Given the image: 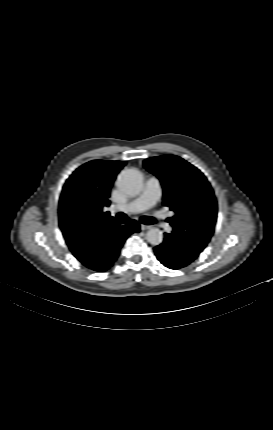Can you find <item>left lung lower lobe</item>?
Here are the masks:
<instances>
[{
	"mask_svg": "<svg viewBox=\"0 0 273 430\" xmlns=\"http://www.w3.org/2000/svg\"><path fill=\"white\" fill-rule=\"evenodd\" d=\"M158 260L170 269H179L193 262L199 252L178 243L173 233H166L162 244L154 248Z\"/></svg>",
	"mask_w": 273,
	"mask_h": 430,
	"instance_id": "1",
	"label": "left lung lower lobe"
}]
</instances>
